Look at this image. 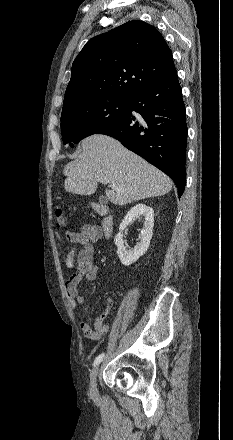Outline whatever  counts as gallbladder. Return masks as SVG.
Wrapping results in <instances>:
<instances>
[{"label": "gallbladder", "mask_w": 233, "mask_h": 440, "mask_svg": "<svg viewBox=\"0 0 233 440\" xmlns=\"http://www.w3.org/2000/svg\"><path fill=\"white\" fill-rule=\"evenodd\" d=\"M99 202H100L101 204L106 203V202H107V198H106L105 196H100V197H99Z\"/></svg>", "instance_id": "gallbladder-1"}]
</instances>
